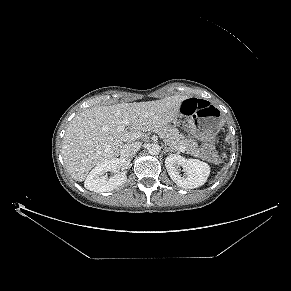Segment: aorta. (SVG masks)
Segmentation results:
<instances>
[{"mask_svg": "<svg viewBox=\"0 0 291 291\" xmlns=\"http://www.w3.org/2000/svg\"><path fill=\"white\" fill-rule=\"evenodd\" d=\"M147 150L150 155H158L161 151V147L158 144L152 143L148 145Z\"/></svg>", "mask_w": 291, "mask_h": 291, "instance_id": "obj_1", "label": "aorta"}]
</instances>
